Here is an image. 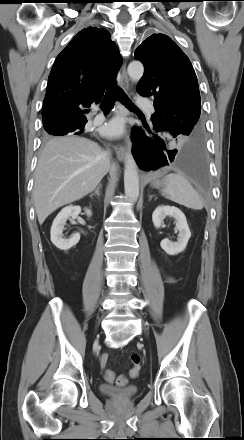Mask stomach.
I'll use <instances>...</instances> for the list:
<instances>
[{
	"instance_id": "stomach-1",
	"label": "stomach",
	"mask_w": 244,
	"mask_h": 440,
	"mask_svg": "<svg viewBox=\"0 0 244 440\" xmlns=\"http://www.w3.org/2000/svg\"><path fill=\"white\" fill-rule=\"evenodd\" d=\"M164 170H159L150 174V182L151 185L155 188L161 187L164 185Z\"/></svg>"
}]
</instances>
